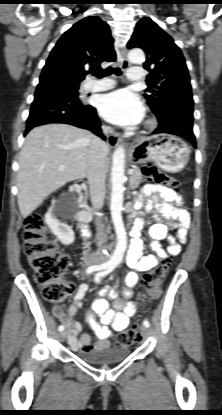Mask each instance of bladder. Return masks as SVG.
Returning a JSON list of instances; mask_svg holds the SVG:
<instances>
[{"label":"bladder","instance_id":"obj_1","mask_svg":"<svg viewBox=\"0 0 222 415\" xmlns=\"http://www.w3.org/2000/svg\"><path fill=\"white\" fill-rule=\"evenodd\" d=\"M76 357L92 365H110L122 362L131 355V350L125 347L108 348L104 350L77 351Z\"/></svg>","mask_w":222,"mask_h":415}]
</instances>
